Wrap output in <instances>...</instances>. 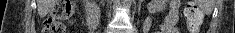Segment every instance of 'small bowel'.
I'll use <instances>...</instances> for the list:
<instances>
[{
    "label": "small bowel",
    "instance_id": "1",
    "mask_svg": "<svg viewBox=\"0 0 235 33\" xmlns=\"http://www.w3.org/2000/svg\"><path fill=\"white\" fill-rule=\"evenodd\" d=\"M179 3L177 0L170 1L169 4V12L163 22L160 24L156 33H179V29L177 27L178 19H179ZM151 19L148 18L145 21L144 28L147 31L150 28Z\"/></svg>",
    "mask_w": 235,
    "mask_h": 33
}]
</instances>
